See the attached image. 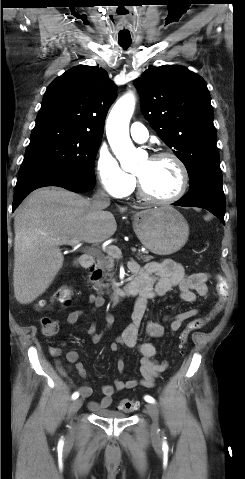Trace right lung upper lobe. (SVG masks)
Segmentation results:
<instances>
[{"label": "right lung upper lobe", "mask_w": 245, "mask_h": 479, "mask_svg": "<svg viewBox=\"0 0 245 479\" xmlns=\"http://www.w3.org/2000/svg\"><path fill=\"white\" fill-rule=\"evenodd\" d=\"M115 95L116 87L105 70L76 66L49 85L34 128H67L102 138Z\"/></svg>", "instance_id": "obj_1"}]
</instances>
